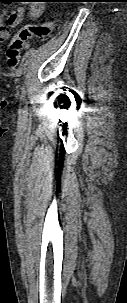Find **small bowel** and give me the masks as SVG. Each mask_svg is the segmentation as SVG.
<instances>
[{
  "mask_svg": "<svg viewBox=\"0 0 127 303\" xmlns=\"http://www.w3.org/2000/svg\"><path fill=\"white\" fill-rule=\"evenodd\" d=\"M28 8L20 7L15 11L9 12L6 15H0V41L5 40L10 35V29L18 26L25 13L31 20H38L42 17L44 12V5L40 0L29 1Z\"/></svg>",
  "mask_w": 127,
  "mask_h": 303,
  "instance_id": "1",
  "label": "small bowel"
}]
</instances>
